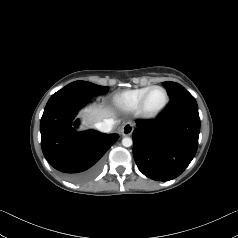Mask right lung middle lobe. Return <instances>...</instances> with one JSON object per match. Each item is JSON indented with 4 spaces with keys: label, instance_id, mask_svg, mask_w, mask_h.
Here are the masks:
<instances>
[{
    "label": "right lung middle lobe",
    "instance_id": "obj_1",
    "mask_svg": "<svg viewBox=\"0 0 238 238\" xmlns=\"http://www.w3.org/2000/svg\"><path fill=\"white\" fill-rule=\"evenodd\" d=\"M68 86H74L82 89L84 92L91 94L93 96H97L100 94H105L108 92L109 87L108 86H100L93 84L91 82H86V81H74L70 83Z\"/></svg>",
    "mask_w": 238,
    "mask_h": 238
}]
</instances>
